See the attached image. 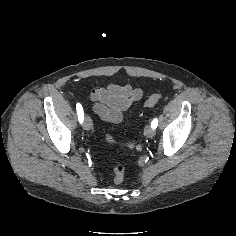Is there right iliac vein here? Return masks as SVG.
Segmentation results:
<instances>
[{
  "label": "right iliac vein",
  "mask_w": 236,
  "mask_h": 236,
  "mask_svg": "<svg viewBox=\"0 0 236 236\" xmlns=\"http://www.w3.org/2000/svg\"><path fill=\"white\" fill-rule=\"evenodd\" d=\"M93 126L92 120L90 119L89 116H85L84 120H83V128L85 130H91Z\"/></svg>",
  "instance_id": "1"
}]
</instances>
